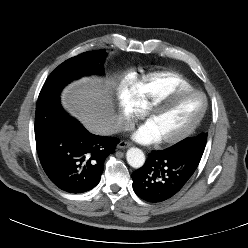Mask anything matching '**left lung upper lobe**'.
<instances>
[{
    "instance_id": "obj_1",
    "label": "left lung upper lobe",
    "mask_w": 248,
    "mask_h": 248,
    "mask_svg": "<svg viewBox=\"0 0 248 248\" xmlns=\"http://www.w3.org/2000/svg\"><path fill=\"white\" fill-rule=\"evenodd\" d=\"M207 142V133H201L193 138H186L179 143L172 146V148L176 149H194L198 151L204 152L205 146Z\"/></svg>"
}]
</instances>
